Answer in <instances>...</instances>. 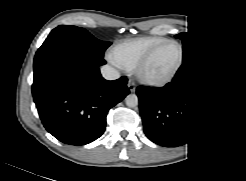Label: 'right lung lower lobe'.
Here are the masks:
<instances>
[{
    "mask_svg": "<svg viewBox=\"0 0 246 181\" xmlns=\"http://www.w3.org/2000/svg\"><path fill=\"white\" fill-rule=\"evenodd\" d=\"M101 65L70 47L34 60V102L46 130L61 142L84 145L99 138L109 109L129 94L126 77L107 81Z\"/></svg>",
    "mask_w": 246,
    "mask_h": 181,
    "instance_id": "1",
    "label": "right lung lower lobe"
}]
</instances>
